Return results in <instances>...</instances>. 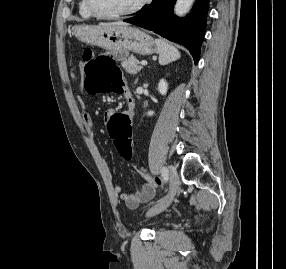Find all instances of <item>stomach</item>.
<instances>
[{
	"label": "stomach",
	"mask_w": 286,
	"mask_h": 269,
	"mask_svg": "<svg viewBox=\"0 0 286 269\" xmlns=\"http://www.w3.org/2000/svg\"><path fill=\"white\" fill-rule=\"evenodd\" d=\"M73 30L80 41L110 52L111 49H131L140 55H151L157 51L154 39L136 27L76 25Z\"/></svg>",
	"instance_id": "obj_1"
}]
</instances>
